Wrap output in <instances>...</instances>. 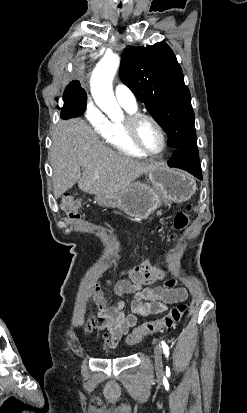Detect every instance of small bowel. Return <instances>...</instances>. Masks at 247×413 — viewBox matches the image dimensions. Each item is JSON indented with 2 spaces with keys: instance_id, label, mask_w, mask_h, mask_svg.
<instances>
[{
  "instance_id": "c3829d8e",
  "label": "small bowel",
  "mask_w": 247,
  "mask_h": 413,
  "mask_svg": "<svg viewBox=\"0 0 247 413\" xmlns=\"http://www.w3.org/2000/svg\"><path fill=\"white\" fill-rule=\"evenodd\" d=\"M165 213L160 210L156 213L161 216ZM164 286L155 289H138L137 282H116L107 280L108 286H113L114 293L122 298L130 295L131 299L126 302L123 299L117 300L112 306H107L99 284L93 288V302L96 306V313L88 319L83 328L85 335H90L93 330L107 329L109 336L105 341L108 346H116L121 338L128 334L129 330L136 326L139 316L156 315L165 312L170 305L185 301L188 292L185 288L175 287V280L165 279ZM122 280L121 276L117 277Z\"/></svg>"
}]
</instances>
